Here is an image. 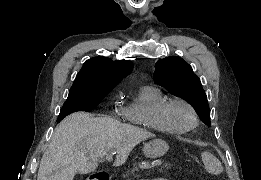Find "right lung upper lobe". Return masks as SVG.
<instances>
[{"instance_id": "obj_1", "label": "right lung upper lobe", "mask_w": 261, "mask_h": 180, "mask_svg": "<svg viewBox=\"0 0 261 180\" xmlns=\"http://www.w3.org/2000/svg\"><path fill=\"white\" fill-rule=\"evenodd\" d=\"M128 60L112 61L105 57L87 60L70 89L72 92L109 93L132 71Z\"/></svg>"}]
</instances>
